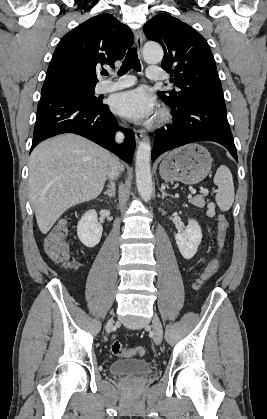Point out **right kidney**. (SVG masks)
I'll use <instances>...</instances> for the list:
<instances>
[{
  "instance_id": "1",
  "label": "right kidney",
  "mask_w": 267,
  "mask_h": 419,
  "mask_svg": "<svg viewBox=\"0 0 267 419\" xmlns=\"http://www.w3.org/2000/svg\"><path fill=\"white\" fill-rule=\"evenodd\" d=\"M102 232L103 227L98 222L95 210L87 211L78 222V238L88 248H93L100 242Z\"/></svg>"
}]
</instances>
